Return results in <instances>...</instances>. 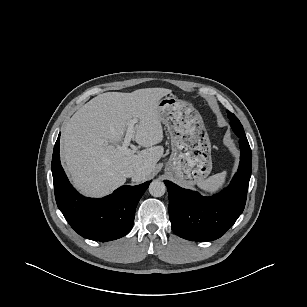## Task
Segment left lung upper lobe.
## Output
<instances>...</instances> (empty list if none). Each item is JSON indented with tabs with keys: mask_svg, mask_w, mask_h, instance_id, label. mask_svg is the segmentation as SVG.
<instances>
[{
	"mask_svg": "<svg viewBox=\"0 0 307 307\" xmlns=\"http://www.w3.org/2000/svg\"><path fill=\"white\" fill-rule=\"evenodd\" d=\"M228 118L230 119V125L233 129V131L240 137V138H246L243 126L241 125L238 118L231 112L227 111Z\"/></svg>",
	"mask_w": 307,
	"mask_h": 307,
	"instance_id": "1",
	"label": "left lung upper lobe"
}]
</instances>
